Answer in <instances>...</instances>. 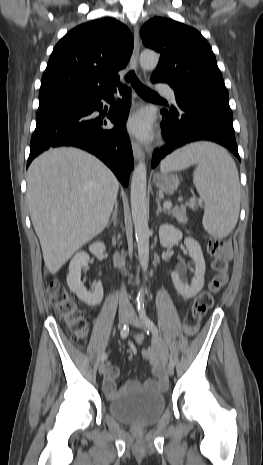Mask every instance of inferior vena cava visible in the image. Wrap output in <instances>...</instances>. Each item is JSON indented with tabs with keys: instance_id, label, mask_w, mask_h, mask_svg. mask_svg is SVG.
<instances>
[{
	"instance_id": "inferior-vena-cava-1",
	"label": "inferior vena cava",
	"mask_w": 263,
	"mask_h": 465,
	"mask_svg": "<svg viewBox=\"0 0 263 465\" xmlns=\"http://www.w3.org/2000/svg\"><path fill=\"white\" fill-rule=\"evenodd\" d=\"M129 307H130V302H129L126 290H125V288L123 286L121 294H120V298H119V308L120 309H128Z\"/></svg>"
}]
</instances>
